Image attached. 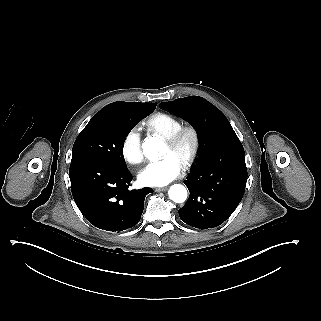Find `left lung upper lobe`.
<instances>
[{
    "label": "left lung upper lobe",
    "instance_id": "5c2ea615",
    "mask_svg": "<svg viewBox=\"0 0 321 321\" xmlns=\"http://www.w3.org/2000/svg\"><path fill=\"white\" fill-rule=\"evenodd\" d=\"M159 107L184 118L195 128L199 138L198 164L218 149L241 143L226 116L202 97L180 98L160 103Z\"/></svg>",
    "mask_w": 321,
    "mask_h": 321
}]
</instances>
